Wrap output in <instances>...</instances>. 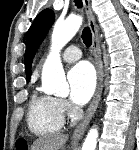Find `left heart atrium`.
<instances>
[{
    "label": "left heart atrium",
    "mask_w": 139,
    "mask_h": 150,
    "mask_svg": "<svg viewBox=\"0 0 139 150\" xmlns=\"http://www.w3.org/2000/svg\"><path fill=\"white\" fill-rule=\"evenodd\" d=\"M70 99L78 105L86 104L93 96L96 88V74L87 62L76 64L68 73Z\"/></svg>",
    "instance_id": "1"
}]
</instances>
